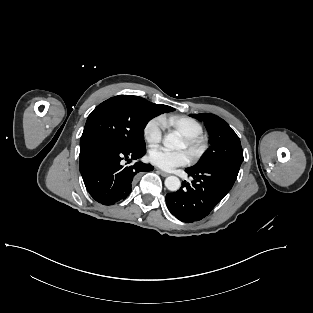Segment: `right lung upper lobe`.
<instances>
[{
    "mask_svg": "<svg viewBox=\"0 0 313 313\" xmlns=\"http://www.w3.org/2000/svg\"><path fill=\"white\" fill-rule=\"evenodd\" d=\"M156 105V107L160 110V111H162L163 113H166V112H170V111H172V107H170V106H166V105H162V104H155Z\"/></svg>",
    "mask_w": 313,
    "mask_h": 313,
    "instance_id": "right-lung-upper-lobe-1",
    "label": "right lung upper lobe"
}]
</instances>
